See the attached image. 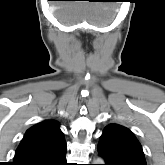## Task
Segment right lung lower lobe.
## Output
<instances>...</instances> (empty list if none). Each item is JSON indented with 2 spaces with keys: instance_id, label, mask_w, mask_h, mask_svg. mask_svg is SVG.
<instances>
[{
  "instance_id": "98d812e1",
  "label": "right lung lower lobe",
  "mask_w": 165,
  "mask_h": 165,
  "mask_svg": "<svg viewBox=\"0 0 165 165\" xmlns=\"http://www.w3.org/2000/svg\"><path fill=\"white\" fill-rule=\"evenodd\" d=\"M66 142L64 138L47 147L46 153L27 165H68L65 157Z\"/></svg>"
}]
</instances>
